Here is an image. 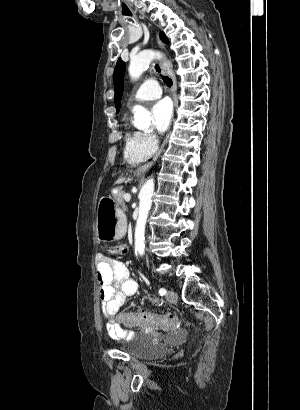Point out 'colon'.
Wrapping results in <instances>:
<instances>
[{
	"mask_svg": "<svg viewBox=\"0 0 300 410\" xmlns=\"http://www.w3.org/2000/svg\"><path fill=\"white\" fill-rule=\"evenodd\" d=\"M108 253L111 256H123L127 253V246L119 244L109 247ZM177 312H167L166 315H156L148 311H138L126 314L122 317L124 325L133 327L143 325L147 328L153 326L168 325L178 322Z\"/></svg>",
	"mask_w": 300,
	"mask_h": 410,
	"instance_id": "1",
	"label": "colon"
}]
</instances>
